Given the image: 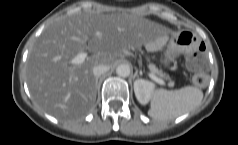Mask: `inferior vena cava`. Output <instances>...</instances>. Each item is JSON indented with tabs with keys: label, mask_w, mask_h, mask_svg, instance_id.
Masks as SVG:
<instances>
[{
	"label": "inferior vena cava",
	"mask_w": 238,
	"mask_h": 145,
	"mask_svg": "<svg viewBox=\"0 0 238 145\" xmlns=\"http://www.w3.org/2000/svg\"><path fill=\"white\" fill-rule=\"evenodd\" d=\"M110 66L109 65H105V64H100L97 66L93 67V74L95 77H99L102 74L106 73L107 71H109Z\"/></svg>",
	"instance_id": "inferior-vena-cava-1"
}]
</instances>
